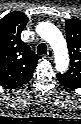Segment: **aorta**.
<instances>
[{
	"label": "aorta",
	"mask_w": 81,
	"mask_h": 124,
	"mask_svg": "<svg viewBox=\"0 0 81 124\" xmlns=\"http://www.w3.org/2000/svg\"><path fill=\"white\" fill-rule=\"evenodd\" d=\"M36 31L40 37L45 39L52 47L55 53L56 69L64 72L68 68L69 55L66 41L59 29L49 22L38 24Z\"/></svg>",
	"instance_id": "1"
}]
</instances>
